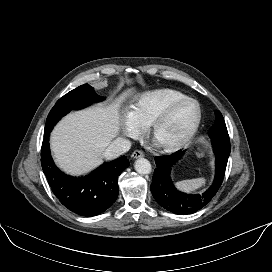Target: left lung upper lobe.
<instances>
[{
  "label": "left lung upper lobe",
  "instance_id": "5c2ea615",
  "mask_svg": "<svg viewBox=\"0 0 272 272\" xmlns=\"http://www.w3.org/2000/svg\"><path fill=\"white\" fill-rule=\"evenodd\" d=\"M216 122L209 130V137L212 141L230 145L229 135L224 118L220 111L215 112Z\"/></svg>",
  "mask_w": 272,
  "mask_h": 272
}]
</instances>
